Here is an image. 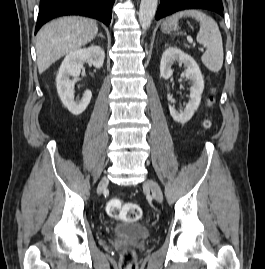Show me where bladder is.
I'll list each match as a JSON object with an SVG mask.
<instances>
[{
	"label": "bladder",
	"instance_id": "obj_1",
	"mask_svg": "<svg viewBox=\"0 0 265 269\" xmlns=\"http://www.w3.org/2000/svg\"><path fill=\"white\" fill-rule=\"evenodd\" d=\"M112 233L115 236L141 239L152 234V228L146 223H121L114 227Z\"/></svg>",
	"mask_w": 265,
	"mask_h": 269
}]
</instances>
